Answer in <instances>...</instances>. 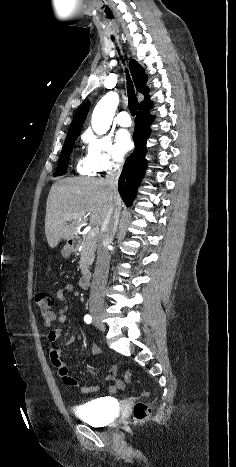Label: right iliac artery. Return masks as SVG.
<instances>
[{"instance_id":"82829eb1","label":"right iliac artery","mask_w":236,"mask_h":467,"mask_svg":"<svg viewBox=\"0 0 236 467\" xmlns=\"http://www.w3.org/2000/svg\"><path fill=\"white\" fill-rule=\"evenodd\" d=\"M84 321L87 323V324H90L92 322V317L87 314L84 316Z\"/></svg>"}]
</instances>
